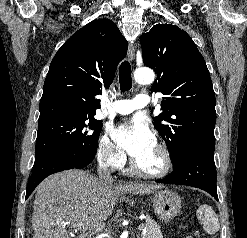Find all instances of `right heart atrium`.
Wrapping results in <instances>:
<instances>
[{
    "instance_id": "d8ad5b80",
    "label": "right heart atrium",
    "mask_w": 247,
    "mask_h": 238,
    "mask_svg": "<svg viewBox=\"0 0 247 238\" xmlns=\"http://www.w3.org/2000/svg\"><path fill=\"white\" fill-rule=\"evenodd\" d=\"M97 158L105 166L120 169L126 163L125 154L112 142L108 132H104L97 145Z\"/></svg>"
}]
</instances>
